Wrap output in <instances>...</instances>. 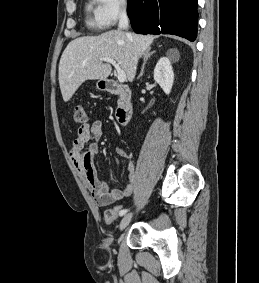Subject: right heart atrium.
I'll return each instance as SVG.
<instances>
[{
    "instance_id": "obj_1",
    "label": "right heart atrium",
    "mask_w": 259,
    "mask_h": 283,
    "mask_svg": "<svg viewBox=\"0 0 259 283\" xmlns=\"http://www.w3.org/2000/svg\"><path fill=\"white\" fill-rule=\"evenodd\" d=\"M95 17L103 28L115 26L129 13L128 0H94Z\"/></svg>"
}]
</instances>
